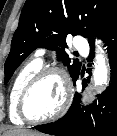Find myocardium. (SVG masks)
Listing matches in <instances>:
<instances>
[{"label":"myocardium","mask_w":117,"mask_h":136,"mask_svg":"<svg viewBox=\"0 0 117 136\" xmlns=\"http://www.w3.org/2000/svg\"><path fill=\"white\" fill-rule=\"evenodd\" d=\"M48 75H57L58 77L61 78L63 84V101L60 107L58 108V110L51 116L44 118H31L26 113L27 98L31 93V91L33 90V88L35 87V85ZM71 100H72V89H71L70 79L67 73L62 68L57 66L44 67L41 68L39 71H37L22 89L18 101L17 114L22 120L31 124L52 122L60 118L66 112V110L68 109L71 103Z\"/></svg>","instance_id":"myocardium-1"}]
</instances>
